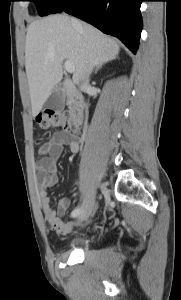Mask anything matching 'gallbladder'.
Listing matches in <instances>:
<instances>
[{
    "mask_svg": "<svg viewBox=\"0 0 181 300\" xmlns=\"http://www.w3.org/2000/svg\"><path fill=\"white\" fill-rule=\"evenodd\" d=\"M64 83L60 82L53 90L51 95L45 101L43 108L45 110L61 111L64 107Z\"/></svg>",
    "mask_w": 181,
    "mask_h": 300,
    "instance_id": "gallbladder-1",
    "label": "gallbladder"
}]
</instances>
